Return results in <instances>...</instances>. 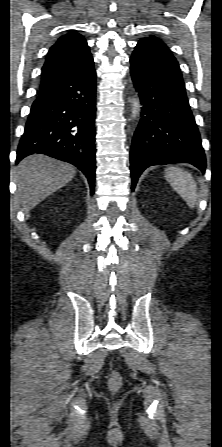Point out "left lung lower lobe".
<instances>
[{
  "label": "left lung lower lobe",
  "mask_w": 222,
  "mask_h": 447,
  "mask_svg": "<svg viewBox=\"0 0 222 447\" xmlns=\"http://www.w3.org/2000/svg\"><path fill=\"white\" fill-rule=\"evenodd\" d=\"M143 105L130 152L132 190L149 166L191 163L205 172L201 138L190 110L179 64L158 38H142L130 58Z\"/></svg>",
  "instance_id": "obj_1"
}]
</instances>
